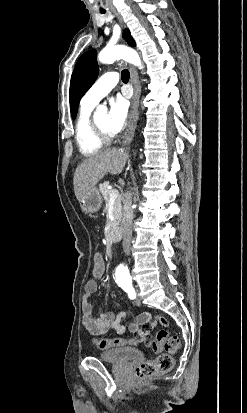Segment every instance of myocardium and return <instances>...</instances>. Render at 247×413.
Instances as JSON below:
<instances>
[{"label": "myocardium", "mask_w": 247, "mask_h": 413, "mask_svg": "<svg viewBox=\"0 0 247 413\" xmlns=\"http://www.w3.org/2000/svg\"><path fill=\"white\" fill-rule=\"evenodd\" d=\"M94 132L97 139L103 144H110L112 141V136L107 134L103 129L94 126Z\"/></svg>", "instance_id": "myocardium-1"}]
</instances>
